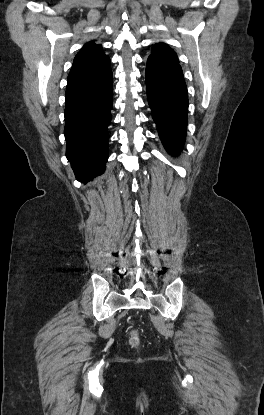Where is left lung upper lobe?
Returning a JSON list of instances; mask_svg holds the SVG:
<instances>
[{
    "mask_svg": "<svg viewBox=\"0 0 264 415\" xmlns=\"http://www.w3.org/2000/svg\"><path fill=\"white\" fill-rule=\"evenodd\" d=\"M150 56H156L178 62L176 53L167 44L164 43L155 44L152 48V55Z\"/></svg>",
    "mask_w": 264,
    "mask_h": 415,
    "instance_id": "5c2ea615",
    "label": "left lung upper lobe"
}]
</instances>
